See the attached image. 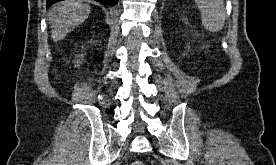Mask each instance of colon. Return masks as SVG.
Returning a JSON list of instances; mask_svg holds the SVG:
<instances>
[{
  "instance_id": "5ec220e1",
  "label": "colon",
  "mask_w": 276,
  "mask_h": 165,
  "mask_svg": "<svg viewBox=\"0 0 276 165\" xmlns=\"http://www.w3.org/2000/svg\"><path fill=\"white\" fill-rule=\"evenodd\" d=\"M130 165H146V164L142 161H134Z\"/></svg>"
}]
</instances>
